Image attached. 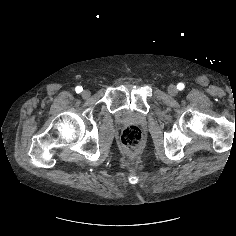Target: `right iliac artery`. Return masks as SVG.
<instances>
[{"mask_svg":"<svg viewBox=\"0 0 236 236\" xmlns=\"http://www.w3.org/2000/svg\"><path fill=\"white\" fill-rule=\"evenodd\" d=\"M82 90H83V88H82L81 86H77V87L75 88V91H76L77 93L82 92Z\"/></svg>","mask_w":236,"mask_h":236,"instance_id":"82829eb1","label":"right iliac artery"}]
</instances>
